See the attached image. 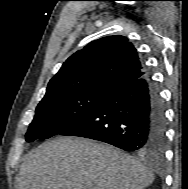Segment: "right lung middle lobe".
<instances>
[{"mask_svg":"<svg viewBox=\"0 0 188 189\" xmlns=\"http://www.w3.org/2000/svg\"><path fill=\"white\" fill-rule=\"evenodd\" d=\"M111 90L88 89L44 96L26 134V141L57 135L81 120Z\"/></svg>","mask_w":188,"mask_h":189,"instance_id":"dd1d6c3e","label":"right lung middle lobe"}]
</instances>
